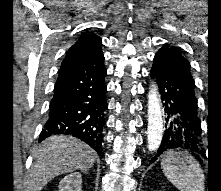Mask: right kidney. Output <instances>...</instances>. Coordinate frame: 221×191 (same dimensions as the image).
<instances>
[{
    "instance_id": "ca27d5eb",
    "label": "right kidney",
    "mask_w": 221,
    "mask_h": 191,
    "mask_svg": "<svg viewBox=\"0 0 221 191\" xmlns=\"http://www.w3.org/2000/svg\"><path fill=\"white\" fill-rule=\"evenodd\" d=\"M82 176L79 172L65 176L59 183V191H82Z\"/></svg>"
}]
</instances>
